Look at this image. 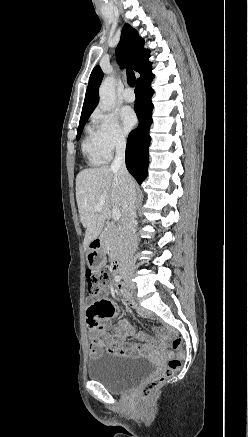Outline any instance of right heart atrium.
<instances>
[{"mask_svg": "<svg viewBox=\"0 0 248 437\" xmlns=\"http://www.w3.org/2000/svg\"><path fill=\"white\" fill-rule=\"evenodd\" d=\"M92 131L101 153L108 159L117 150L125 146L126 137L116 116L100 109L92 114Z\"/></svg>", "mask_w": 248, "mask_h": 437, "instance_id": "right-heart-atrium-1", "label": "right heart atrium"}]
</instances>
